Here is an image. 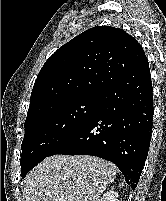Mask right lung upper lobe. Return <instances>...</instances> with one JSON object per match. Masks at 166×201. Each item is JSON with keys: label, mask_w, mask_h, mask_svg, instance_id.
<instances>
[{"label": "right lung upper lobe", "mask_w": 166, "mask_h": 201, "mask_svg": "<svg viewBox=\"0 0 166 201\" xmlns=\"http://www.w3.org/2000/svg\"><path fill=\"white\" fill-rule=\"evenodd\" d=\"M144 56L138 41L120 28L86 30L45 62L31 93L27 118L74 98L101 95Z\"/></svg>", "instance_id": "1"}]
</instances>
